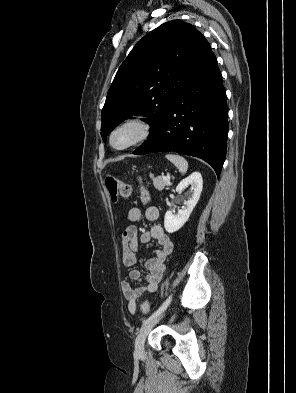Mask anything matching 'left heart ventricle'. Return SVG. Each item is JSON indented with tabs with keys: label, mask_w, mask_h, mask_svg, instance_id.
Returning <instances> with one entry per match:
<instances>
[{
	"label": "left heart ventricle",
	"mask_w": 296,
	"mask_h": 393,
	"mask_svg": "<svg viewBox=\"0 0 296 393\" xmlns=\"http://www.w3.org/2000/svg\"><path fill=\"white\" fill-rule=\"evenodd\" d=\"M137 134V129L131 126L118 130L112 139L114 146L122 147L128 144Z\"/></svg>",
	"instance_id": "1"
}]
</instances>
